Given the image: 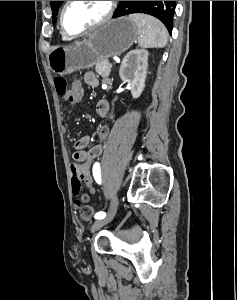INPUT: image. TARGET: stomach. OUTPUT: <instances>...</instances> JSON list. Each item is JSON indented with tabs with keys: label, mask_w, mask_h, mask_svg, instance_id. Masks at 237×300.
I'll return each instance as SVG.
<instances>
[{
	"label": "stomach",
	"mask_w": 237,
	"mask_h": 300,
	"mask_svg": "<svg viewBox=\"0 0 237 300\" xmlns=\"http://www.w3.org/2000/svg\"><path fill=\"white\" fill-rule=\"evenodd\" d=\"M137 37V27L129 17L111 19L71 47H52L47 55L48 67L61 77L80 69H90L102 59L127 51Z\"/></svg>",
	"instance_id": "1"
}]
</instances>
